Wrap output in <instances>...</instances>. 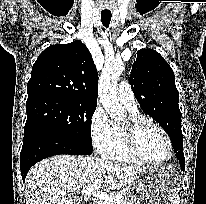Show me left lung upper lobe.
I'll list each match as a JSON object with an SVG mask.
<instances>
[{
  "instance_id": "1",
  "label": "left lung upper lobe",
  "mask_w": 206,
  "mask_h": 204,
  "mask_svg": "<svg viewBox=\"0 0 206 204\" xmlns=\"http://www.w3.org/2000/svg\"><path fill=\"white\" fill-rule=\"evenodd\" d=\"M129 83L142 110L169 135L174 152L183 151L179 93L169 64L158 52L140 49L132 66Z\"/></svg>"
}]
</instances>
